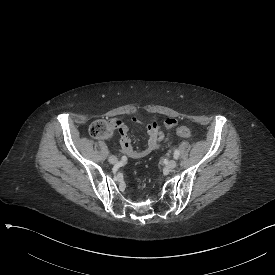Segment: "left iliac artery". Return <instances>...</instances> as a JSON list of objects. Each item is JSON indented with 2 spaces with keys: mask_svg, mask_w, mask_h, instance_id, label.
<instances>
[{
  "mask_svg": "<svg viewBox=\"0 0 275 275\" xmlns=\"http://www.w3.org/2000/svg\"><path fill=\"white\" fill-rule=\"evenodd\" d=\"M178 157H179V150L175 149L173 158L177 159Z\"/></svg>",
  "mask_w": 275,
  "mask_h": 275,
  "instance_id": "obj_1",
  "label": "left iliac artery"
}]
</instances>
